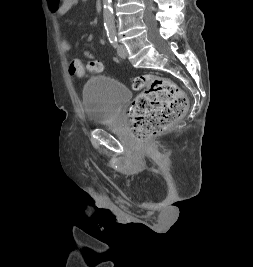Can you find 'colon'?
Returning a JSON list of instances; mask_svg holds the SVG:
<instances>
[{
  "label": "colon",
  "instance_id": "1",
  "mask_svg": "<svg viewBox=\"0 0 253 267\" xmlns=\"http://www.w3.org/2000/svg\"><path fill=\"white\" fill-rule=\"evenodd\" d=\"M88 58L86 68L91 73H100L102 64L93 59L90 51H84ZM72 75L83 76L85 67L80 60L74 59L69 64ZM135 90L141 93L132 102L128 116L133 136L141 143L160 134L171 124L180 119L187 110L188 100L185 93L169 79L158 75H142L132 82Z\"/></svg>",
  "mask_w": 253,
  "mask_h": 267
}]
</instances>
